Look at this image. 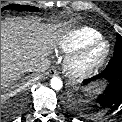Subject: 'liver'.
<instances>
[{"label": "liver", "mask_w": 122, "mask_h": 122, "mask_svg": "<svg viewBox=\"0 0 122 122\" xmlns=\"http://www.w3.org/2000/svg\"><path fill=\"white\" fill-rule=\"evenodd\" d=\"M62 32L61 25L37 18L11 17L1 21V89L51 54Z\"/></svg>", "instance_id": "6515ba94"}]
</instances>
